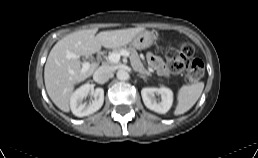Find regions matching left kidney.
Here are the masks:
<instances>
[{"mask_svg": "<svg viewBox=\"0 0 258 158\" xmlns=\"http://www.w3.org/2000/svg\"><path fill=\"white\" fill-rule=\"evenodd\" d=\"M141 95L145 106L160 114L168 112L173 104V92L164 86L143 88ZM156 95L160 96V101L156 99Z\"/></svg>", "mask_w": 258, "mask_h": 158, "instance_id": "left-kidney-1", "label": "left kidney"}]
</instances>
